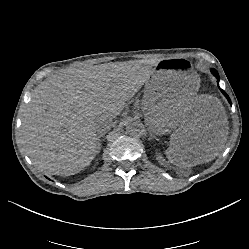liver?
Here are the masks:
<instances>
[{"label":"liver","mask_w":249,"mask_h":249,"mask_svg":"<svg viewBox=\"0 0 249 249\" xmlns=\"http://www.w3.org/2000/svg\"><path fill=\"white\" fill-rule=\"evenodd\" d=\"M153 73L147 67L103 64L70 67L42 81L22 118V143L34 166L62 176L89 166L101 145L96 119L120 115ZM141 109L156 135L173 131L168 155L178 166L210 162L225 146L228 117L212 95L181 102L153 91L144 94Z\"/></svg>","instance_id":"liver-1"}]
</instances>
